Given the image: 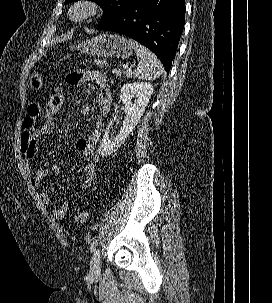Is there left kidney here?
I'll list each match as a JSON object with an SVG mask.
<instances>
[{
	"label": "left kidney",
	"instance_id": "1",
	"mask_svg": "<svg viewBox=\"0 0 272 303\" xmlns=\"http://www.w3.org/2000/svg\"><path fill=\"white\" fill-rule=\"evenodd\" d=\"M152 93L153 86L151 83L133 82L127 83L122 87L120 101L124 104L123 110L126 113L125 120L123 121L119 133L112 139L109 138V132L117 115L113 116V119L106 127L105 134L103 135L99 146V154L101 156H110L124 143L125 139L138 124ZM133 97H136L134 103L131 102Z\"/></svg>",
	"mask_w": 272,
	"mask_h": 303
}]
</instances>
